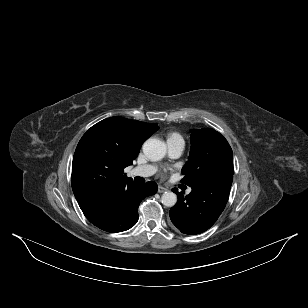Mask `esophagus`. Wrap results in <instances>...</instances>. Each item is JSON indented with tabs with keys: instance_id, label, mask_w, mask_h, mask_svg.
I'll list each match as a JSON object with an SVG mask.
<instances>
[{
	"instance_id": "obj_1",
	"label": "esophagus",
	"mask_w": 308,
	"mask_h": 308,
	"mask_svg": "<svg viewBox=\"0 0 308 308\" xmlns=\"http://www.w3.org/2000/svg\"><path fill=\"white\" fill-rule=\"evenodd\" d=\"M166 191H167L166 188H164V187H162V186H158V192H159V193H164V192H166Z\"/></svg>"
}]
</instances>
